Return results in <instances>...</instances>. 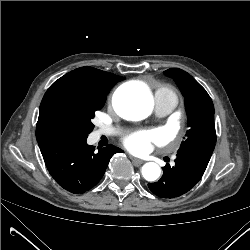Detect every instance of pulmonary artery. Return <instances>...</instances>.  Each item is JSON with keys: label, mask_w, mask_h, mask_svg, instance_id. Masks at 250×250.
<instances>
[{"label": "pulmonary artery", "mask_w": 250, "mask_h": 250, "mask_svg": "<svg viewBox=\"0 0 250 250\" xmlns=\"http://www.w3.org/2000/svg\"><path fill=\"white\" fill-rule=\"evenodd\" d=\"M176 104L168 100H157L155 102V113L158 117H163L172 112ZM115 131L114 128H103L100 130L101 134H111Z\"/></svg>", "instance_id": "pulmonary-artery-1"}]
</instances>
